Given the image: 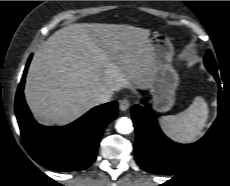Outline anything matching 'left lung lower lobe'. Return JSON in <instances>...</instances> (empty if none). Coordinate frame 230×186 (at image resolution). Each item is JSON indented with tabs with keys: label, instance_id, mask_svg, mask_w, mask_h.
<instances>
[{
	"label": "left lung lower lobe",
	"instance_id": "1",
	"mask_svg": "<svg viewBox=\"0 0 230 186\" xmlns=\"http://www.w3.org/2000/svg\"><path fill=\"white\" fill-rule=\"evenodd\" d=\"M219 82L218 74L213 75ZM221 109L222 91H219ZM143 105L132 107V119L136 130L135 157L140 167L150 173L172 175L194 159L212 136L215 124L206 135L194 144L181 145L168 139L160 130L156 118L144 100ZM221 112V111H220Z\"/></svg>",
	"mask_w": 230,
	"mask_h": 186
}]
</instances>
